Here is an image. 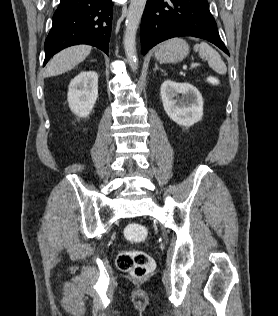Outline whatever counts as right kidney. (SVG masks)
Masks as SVG:
<instances>
[{
    "label": "right kidney",
    "instance_id": "ca27d5eb",
    "mask_svg": "<svg viewBox=\"0 0 278 316\" xmlns=\"http://www.w3.org/2000/svg\"><path fill=\"white\" fill-rule=\"evenodd\" d=\"M98 98V74L95 71H82L71 80L68 90V103L71 111L79 117H87Z\"/></svg>",
    "mask_w": 278,
    "mask_h": 316
}]
</instances>
